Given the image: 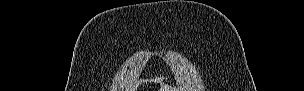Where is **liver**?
Masks as SVG:
<instances>
[{
	"label": "liver",
	"instance_id": "6515ba94",
	"mask_svg": "<svg viewBox=\"0 0 304 91\" xmlns=\"http://www.w3.org/2000/svg\"><path fill=\"white\" fill-rule=\"evenodd\" d=\"M163 89H165V90H163V91H173V90H168V89H171V88H168V86H164ZM161 91H162V90H161ZM174 91H175V90H174Z\"/></svg>",
	"mask_w": 304,
	"mask_h": 91
}]
</instances>
